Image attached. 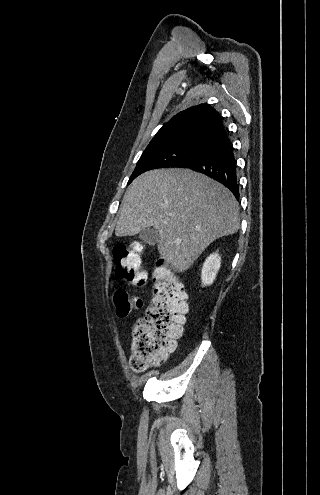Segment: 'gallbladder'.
Masks as SVG:
<instances>
[{
  "mask_svg": "<svg viewBox=\"0 0 320 495\" xmlns=\"http://www.w3.org/2000/svg\"><path fill=\"white\" fill-rule=\"evenodd\" d=\"M139 238L144 242L153 245L159 241V232L153 227H148L140 232Z\"/></svg>",
  "mask_w": 320,
  "mask_h": 495,
  "instance_id": "obj_1",
  "label": "gallbladder"
}]
</instances>
